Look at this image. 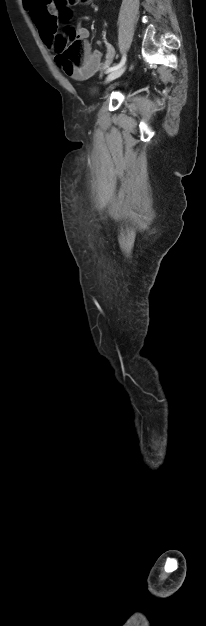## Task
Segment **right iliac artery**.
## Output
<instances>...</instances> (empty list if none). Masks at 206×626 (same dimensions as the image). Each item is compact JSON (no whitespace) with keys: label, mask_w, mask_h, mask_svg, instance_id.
Wrapping results in <instances>:
<instances>
[{"label":"right iliac artery","mask_w":206,"mask_h":626,"mask_svg":"<svg viewBox=\"0 0 206 626\" xmlns=\"http://www.w3.org/2000/svg\"><path fill=\"white\" fill-rule=\"evenodd\" d=\"M125 62H126V56H125V55H123V57H122L121 61H120L117 65H115V66H113V67L109 68V69H108V72H112V71H114V70H117V69L121 68V67L125 64Z\"/></svg>","instance_id":"right-iliac-artery-1"}]
</instances>
